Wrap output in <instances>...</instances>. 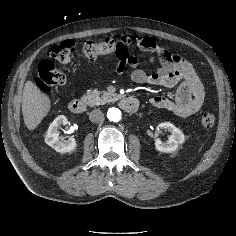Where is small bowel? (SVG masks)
<instances>
[{
	"instance_id": "1",
	"label": "small bowel",
	"mask_w": 236,
	"mask_h": 236,
	"mask_svg": "<svg viewBox=\"0 0 236 236\" xmlns=\"http://www.w3.org/2000/svg\"><path fill=\"white\" fill-rule=\"evenodd\" d=\"M118 42L127 51L125 55L117 56L119 63L116 70L119 74L124 72L126 66H129L132 69L130 77L137 84L177 87L173 98L163 95L151 98L150 103L154 107L170 110L180 117H189L201 110L204 102V88L187 59L163 49L151 37L125 34ZM131 45L155 55L161 67L149 73L140 69L138 59L129 54ZM149 62L154 64L155 57H151Z\"/></svg>"
}]
</instances>
